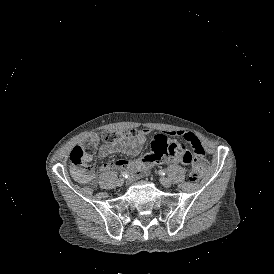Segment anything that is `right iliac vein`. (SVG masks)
Here are the masks:
<instances>
[{
    "label": "right iliac vein",
    "instance_id": "63e3f726",
    "mask_svg": "<svg viewBox=\"0 0 274 274\" xmlns=\"http://www.w3.org/2000/svg\"><path fill=\"white\" fill-rule=\"evenodd\" d=\"M123 184H124V179H122V178L118 179L117 185L121 187V186H123Z\"/></svg>",
    "mask_w": 274,
    "mask_h": 274
}]
</instances>
